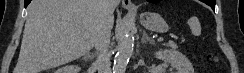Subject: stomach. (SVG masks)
<instances>
[{"mask_svg": "<svg viewBox=\"0 0 244 73\" xmlns=\"http://www.w3.org/2000/svg\"><path fill=\"white\" fill-rule=\"evenodd\" d=\"M141 25L149 31L166 33L169 30L167 22L158 13L146 12L140 14Z\"/></svg>", "mask_w": 244, "mask_h": 73, "instance_id": "stomach-1", "label": "stomach"}]
</instances>
